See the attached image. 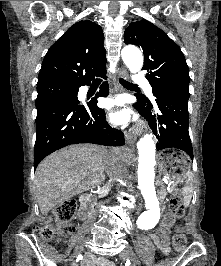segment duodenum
I'll use <instances>...</instances> for the list:
<instances>
[{"label": "duodenum", "mask_w": 221, "mask_h": 266, "mask_svg": "<svg viewBox=\"0 0 221 266\" xmlns=\"http://www.w3.org/2000/svg\"><path fill=\"white\" fill-rule=\"evenodd\" d=\"M80 201L81 209L79 212V217L81 220H86L90 216L92 210L91 199L87 196H82Z\"/></svg>", "instance_id": "duodenum-1"}]
</instances>
